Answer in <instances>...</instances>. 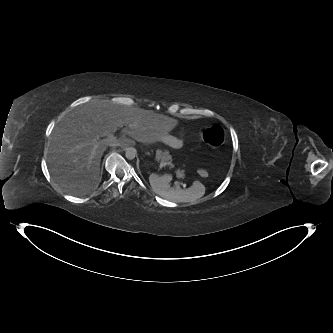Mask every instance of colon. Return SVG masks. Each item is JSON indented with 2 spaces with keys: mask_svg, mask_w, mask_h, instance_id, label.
<instances>
[{
  "mask_svg": "<svg viewBox=\"0 0 333 333\" xmlns=\"http://www.w3.org/2000/svg\"><path fill=\"white\" fill-rule=\"evenodd\" d=\"M199 133L204 142L212 147H219L224 141V131L216 124L202 126ZM199 175L206 177L207 172L204 169H200Z\"/></svg>",
  "mask_w": 333,
  "mask_h": 333,
  "instance_id": "colon-1",
  "label": "colon"
}]
</instances>
